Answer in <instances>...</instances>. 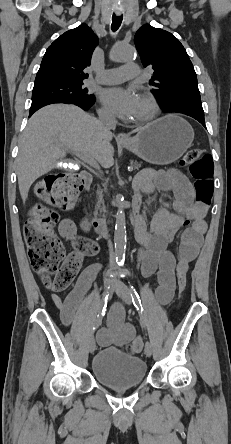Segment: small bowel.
Listing matches in <instances>:
<instances>
[{
	"instance_id": "obj_1",
	"label": "small bowel",
	"mask_w": 231,
	"mask_h": 444,
	"mask_svg": "<svg viewBox=\"0 0 231 444\" xmlns=\"http://www.w3.org/2000/svg\"><path fill=\"white\" fill-rule=\"evenodd\" d=\"M158 188L173 193V210L159 208L147 225L143 215H140L135 234L140 249L138 252L140 268L144 276L156 274V299L161 304L169 303L174 295L176 275L186 273L190 263L197 257L206 230L205 216L208 206L195 202L193 190L186 176L176 169L164 171H145L134 182L137 193L135 204L139 206L143 194H152ZM191 223L185 231L179 250V259L168 249L177 231ZM60 235L69 243L73 252L82 256L94 255L98 246L84 238H78L76 224L70 219H63L59 225ZM97 273L96 266L85 268L80 274L74 288L61 299L52 295V301L60 310L63 324H72L76 311L85 294L93 283ZM123 309L116 305L108 317L107 326L97 333L101 346L124 345L137 339L135 329L123 320Z\"/></svg>"
}]
</instances>
